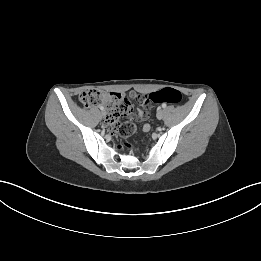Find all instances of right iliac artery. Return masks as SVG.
Instances as JSON below:
<instances>
[{
	"label": "right iliac artery",
	"mask_w": 261,
	"mask_h": 261,
	"mask_svg": "<svg viewBox=\"0 0 261 261\" xmlns=\"http://www.w3.org/2000/svg\"><path fill=\"white\" fill-rule=\"evenodd\" d=\"M99 108H100V110H104V107H103V106H100Z\"/></svg>",
	"instance_id": "1"
}]
</instances>
